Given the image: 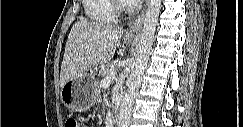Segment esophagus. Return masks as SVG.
<instances>
[{"label":"esophagus","mask_w":243,"mask_h":127,"mask_svg":"<svg viewBox=\"0 0 243 127\" xmlns=\"http://www.w3.org/2000/svg\"><path fill=\"white\" fill-rule=\"evenodd\" d=\"M149 3V0H146L145 2V8L143 9V11L133 20V22L131 23V25L129 26L128 30H127V34L130 35H137L140 33L143 22H144V18H145V11H146V7Z\"/></svg>","instance_id":"esophagus-1"}]
</instances>
